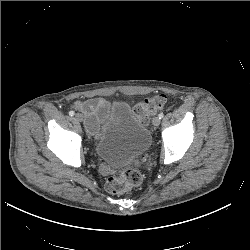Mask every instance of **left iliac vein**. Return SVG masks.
<instances>
[{
    "label": "left iliac vein",
    "mask_w": 250,
    "mask_h": 250,
    "mask_svg": "<svg viewBox=\"0 0 250 250\" xmlns=\"http://www.w3.org/2000/svg\"><path fill=\"white\" fill-rule=\"evenodd\" d=\"M160 122H161V119L159 118V116L154 117L152 120V123L154 126H159Z\"/></svg>",
    "instance_id": "1"
}]
</instances>
